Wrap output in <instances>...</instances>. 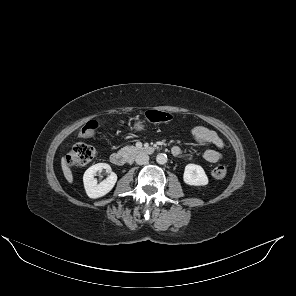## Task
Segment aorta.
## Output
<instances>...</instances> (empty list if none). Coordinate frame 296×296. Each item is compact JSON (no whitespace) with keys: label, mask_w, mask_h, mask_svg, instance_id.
Wrapping results in <instances>:
<instances>
[{"label":"aorta","mask_w":296,"mask_h":296,"mask_svg":"<svg viewBox=\"0 0 296 296\" xmlns=\"http://www.w3.org/2000/svg\"><path fill=\"white\" fill-rule=\"evenodd\" d=\"M156 161L158 164H165L167 162V155L160 153L156 156Z\"/></svg>","instance_id":"762f6f07"}]
</instances>
